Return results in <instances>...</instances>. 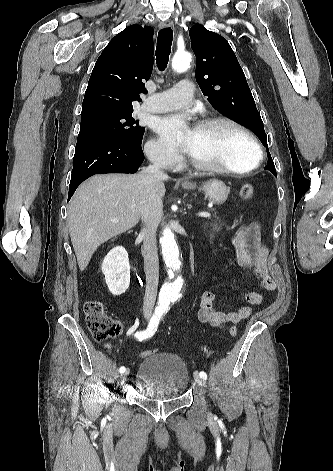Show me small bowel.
Returning <instances> with one entry per match:
<instances>
[{
    "instance_id": "c3829d8e",
    "label": "small bowel",
    "mask_w": 333,
    "mask_h": 471,
    "mask_svg": "<svg viewBox=\"0 0 333 471\" xmlns=\"http://www.w3.org/2000/svg\"><path fill=\"white\" fill-rule=\"evenodd\" d=\"M260 225L252 222L241 227L232 239L235 259L240 267L251 269L258 285L265 291L275 289V281L269 275L267 258L268 250L262 245L260 239ZM247 305L240 306L235 311L224 312L215 308V295L211 291H205L200 297L198 320L203 324H209L216 328H223L226 324H237L252 315L251 306L263 303L264 296L260 292L249 291L241 296ZM107 349L112 345L107 343Z\"/></svg>"
}]
</instances>
